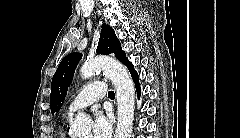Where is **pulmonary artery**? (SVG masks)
Masks as SVG:
<instances>
[{
	"mask_svg": "<svg viewBox=\"0 0 240 138\" xmlns=\"http://www.w3.org/2000/svg\"><path fill=\"white\" fill-rule=\"evenodd\" d=\"M107 92L105 82L94 81L88 84L70 103L68 107V115L72 116L93 103L99 101Z\"/></svg>",
	"mask_w": 240,
	"mask_h": 138,
	"instance_id": "1",
	"label": "pulmonary artery"
}]
</instances>
